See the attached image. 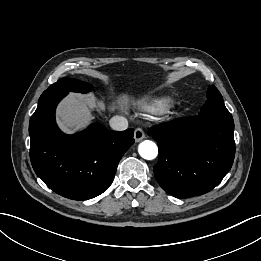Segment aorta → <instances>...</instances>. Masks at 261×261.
Instances as JSON below:
<instances>
[{"label":"aorta","instance_id":"obj_1","mask_svg":"<svg viewBox=\"0 0 261 261\" xmlns=\"http://www.w3.org/2000/svg\"><path fill=\"white\" fill-rule=\"evenodd\" d=\"M138 152L142 158L152 160L158 155V147L154 142L145 140L139 144Z\"/></svg>","mask_w":261,"mask_h":261}]
</instances>
